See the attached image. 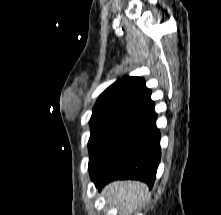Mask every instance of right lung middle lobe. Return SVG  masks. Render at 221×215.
I'll list each match as a JSON object with an SVG mask.
<instances>
[{
    "mask_svg": "<svg viewBox=\"0 0 221 215\" xmlns=\"http://www.w3.org/2000/svg\"><path fill=\"white\" fill-rule=\"evenodd\" d=\"M136 112V109L123 105H95L90 119L89 168L96 162L111 137Z\"/></svg>",
    "mask_w": 221,
    "mask_h": 215,
    "instance_id": "dd1d6c3e",
    "label": "right lung middle lobe"
}]
</instances>
